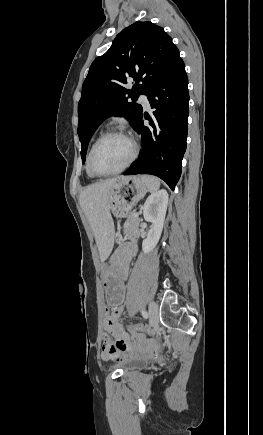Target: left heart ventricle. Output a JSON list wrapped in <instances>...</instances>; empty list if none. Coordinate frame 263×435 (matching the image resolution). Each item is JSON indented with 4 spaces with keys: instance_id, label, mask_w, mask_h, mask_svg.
I'll return each instance as SVG.
<instances>
[{
    "instance_id": "obj_1",
    "label": "left heart ventricle",
    "mask_w": 263,
    "mask_h": 435,
    "mask_svg": "<svg viewBox=\"0 0 263 435\" xmlns=\"http://www.w3.org/2000/svg\"><path fill=\"white\" fill-rule=\"evenodd\" d=\"M132 151L130 140L112 136L102 141L95 150L93 164L101 172H109L123 166Z\"/></svg>"
}]
</instances>
